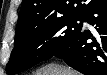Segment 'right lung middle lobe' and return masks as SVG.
Returning a JSON list of instances; mask_svg holds the SVG:
<instances>
[{
	"label": "right lung middle lobe",
	"instance_id": "right-lung-middle-lobe-1",
	"mask_svg": "<svg viewBox=\"0 0 107 75\" xmlns=\"http://www.w3.org/2000/svg\"><path fill=\"white\" fill-rule=\"evenodd\" d=\"M79 20L80 14H74L29 31L17 28L8 73H19L50 59L79 33L82 27V23H77Z\"/></svg>",
	"mask_w": 107,
	"mask_h": 75
}]
</instances>
